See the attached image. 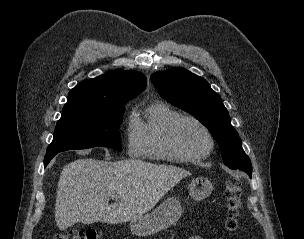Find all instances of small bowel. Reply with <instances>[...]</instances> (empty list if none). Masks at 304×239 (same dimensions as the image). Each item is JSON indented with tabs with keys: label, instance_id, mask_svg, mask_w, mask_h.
Listing matches in <instances>:
<instances>
[{
	"label": "small bowel",
	"instance_id": "small-bowel-1",
	"mask_svg": "<svg viewBox=\"0 0 304 239\" xmlns=\"http://www.w3.org/2000/svg\"><path fill=\"white\" fill-rule=\"evenodd\" d=\"M188 239H204V238L200 235H193V236H190Z\"/></svg>",
	"mask_w": 304,
	"mask_h": 239
}]
</instances>
